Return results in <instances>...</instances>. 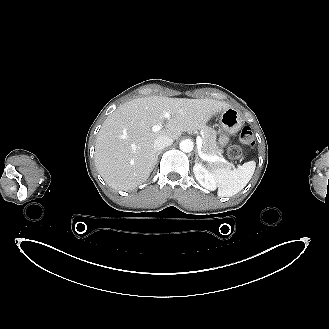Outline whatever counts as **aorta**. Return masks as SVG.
Listing matches in <instances>:
<instances>
[{"instance_id": "obj_1", "label": "aorta", "mask_w": 329, "mask_h": 329, "mask_svg": "<svg viewBox=\"0 0 329 329\" xmlns=\"http://www.w3.org/2000/svg\"><path fill=\"white\" fill-rule=\"evenodd\" d=\"M180 150L183 152H191L193 150V142L189 139L182 140L180 142Z\"/></svg>"}]
</instances>
